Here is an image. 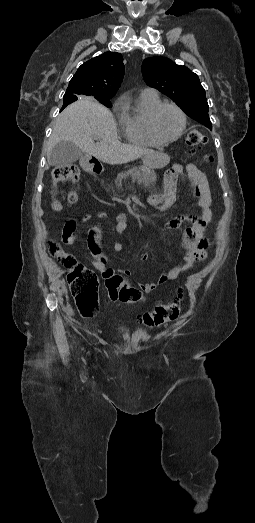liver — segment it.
I'll use <instances>...</instances> for the list:
<instances>
[{
    "label": "liver",
    "mask_w": 255,
    "mask_h": 523,
    "mask_svg": "<svg viewBox=\"0 0 255 523\" xmlns=\"http://www.w3.org/2000/svg\"><path fill=\"white\" fill-rule=\"evenodd\" d=\"M95 138L99 140L97 144L93 142ZM63 140L74 142L82 152L112 166L127 164L142 156H144L143 162H147L155 154L154 150L148 148L121 144L113 114L93 98H86V96H82L81 100H77L59 114L48 142V162L52 148ZM157 154L158 162L161 168H164L170 162V158L162 152Z\"/></svg>",
    "instance_id": "6515ba94"
}]
</instances>
